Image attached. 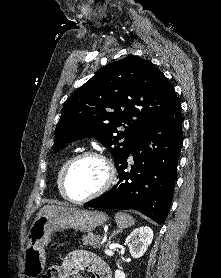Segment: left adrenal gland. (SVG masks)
<instances>
[{
	"label": "left adrenal gland",
	"mask_w": 221,
	"mask_h": 278,
	"mask_svg": "<svg viewBox=\"0 0 221 278\" xmlns=\"http://www.w3.org/2000/svg\"><path fill=\"white\" fill-rule=\"evenodd\" d=\"M119 232H120V230L113 231V233L111 234V236H110L109 239H108L107 246L111 243L112 237H114V236H115L116 234H118Z\"/></svg>",
	"instance_id": "1"
}]
</instances>
